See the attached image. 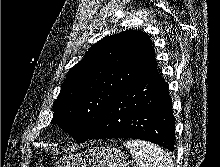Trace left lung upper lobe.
<instances>
[{
  "label": "left lung upper lobe",
  "instance_id": "obj_1",
  "mask_svg": "<svg viewBox=\"0 0 220 167\" xmlns=\"http://www.w3.org/2000/svg\"><path fill=\"white\" fill-rule=\"evenodd\" d=\"M155 52L146 33L126 30L106 36L72 67L54 101L51 123L76 142L97 128L116 94L156 69Z\"/></svg>",
  "mask_w": 220,
  "mask_h": 167
}]
</instances>
